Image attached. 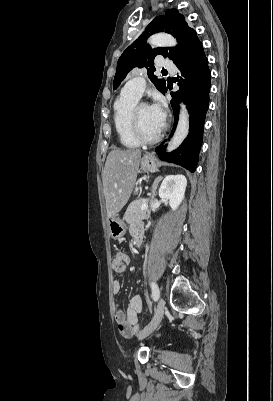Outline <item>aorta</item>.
Segmentation results:
<instances>
[{
  "label": "aorta",
  "instance_id": "obj_1",
  "mask_svg": "<svg viewBox=\"0 0 273 401\" xmlns=\"http://www.w3.org/2000/svg\"><path fill=\"white\" fill-rule=\"evenodd\" d=\"M152 46L170 47L177 44L176 39L165 33L155 34L148 41ZM189 113L184 105L181 106L176 131L168 145V151L177 149L189 133Z\"/></svg>",
  "mask_w": 273,
  "mask_h": 401
}]
</instances>
